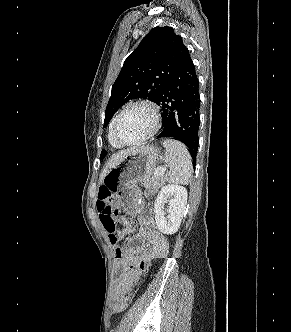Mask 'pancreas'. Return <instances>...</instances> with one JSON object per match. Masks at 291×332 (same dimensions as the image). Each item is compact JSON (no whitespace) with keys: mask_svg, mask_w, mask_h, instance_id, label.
<instances>
[{"mask_svg":"<svg viewBox=\"0 0 291 332\" xmlns=\"http://www.w3.org/2000/svg\"><path fill=\"white\" fill-rule=\"evenodd\" d=\"M164 177L163 176H153L147 180L141 182V185L146 189H151L157 191L159 187L163 186Z\"/></svg>","mask_w":291,"mask_h":332,"instance_id":"obj_1","label":"pancreas"}]
</instances>
